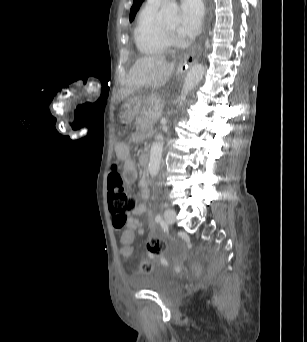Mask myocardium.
<instances>
[{
    "instance_id": "f54148a6",
    "label": "myocardium",
    "mask_w": 307,
    "mask_h": 342,
    "mask_svg": "<svg viewBox=\"0 0 307 342\" xmlns=\"http://www.w3.org/2000/svg\"><path fill=\"white\" fill-rule=\"evenodd\" d=\"M156 33L158 42L163 48L164 52L176 53L181 49L179 44H175L172 40L165 36L159 24H157Z\"/></svg>"
}]
</instances>
